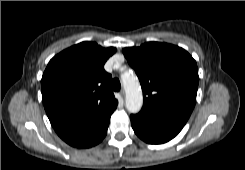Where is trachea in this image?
Masks as SVG:
<instances>
[{
	"mask_svg": "<svg viewBox=\"0 0 245 170\" xmlns=\"http://www.w3.org/2000/svg\"><path fill=\"white\" fill-rule=\"evenodd\" d=\"M111 88L114 90V91H119L120 88H121V84H120V81L119 79L115 78L111 81Z\"/></svg>",
	"mask_w": 245,
	"mask_h": 170,
	"instance_id": "1",
	"label": "trachea"
}]
</instances>
